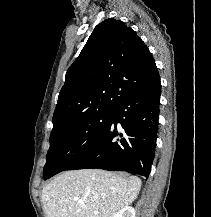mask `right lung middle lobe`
I'll return each instance as SVG.
<instances>
[{
	"instance_id": "1",
	"label": "right lung middle lobe",
	"mask_w": 211,
	"mask_h": 217,
	"mask_svg": "<svg viewBox=\"0 0 211 217\" xmlns=\"http://www.w3.org/2000/svg\"><path fill=\"white\" fill-rule=\"evenodd\" d=\"M113 117L114 110H96L54 127L43 179L67 170L89 152L106 133Z\"/></svg>"
}]
</instances>
